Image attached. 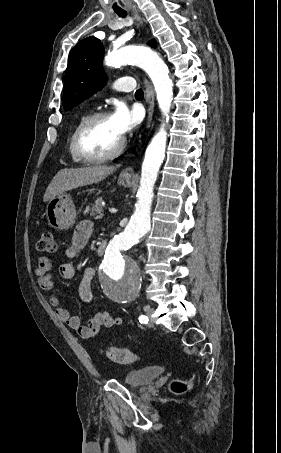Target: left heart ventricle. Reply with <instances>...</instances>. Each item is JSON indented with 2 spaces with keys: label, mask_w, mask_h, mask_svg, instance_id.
<instances>
[{
  "label": "left heart ventricle",
  "mask_w": 281,
  "mask_h": 453,
  "mask_svg": "<svg viewBox=\"0 0 281 453\" xmlns=\"http://www.w3.org/2000/svg\"><path fill=\"white\" fill-rule=\"evenodd\" d=\"M122 137L109 118L90 128L85 137L84 149L93 156L106 154L117 146Z\"/></svg>",
  "instance_id": "obj_1"
}]
</instances>
